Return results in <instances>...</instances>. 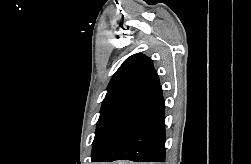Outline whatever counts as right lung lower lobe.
Listing matches in <instances>:
<instances>
[{
  "instance_id": "1",
  "label": "right lung lower lobe",
  "mask_w": 251,
  "mask_h": 164,
  "mask_svg": "<svg viewBox=\"0 0 251 164\" xmlns=\"http://www.w3.org/2000/svg\"><path fill=\"white\" fill-rule=\"evenodd\" d=\"M165 104L160 84L142 91L113 123L92 162L165 161Z\"/></svg>"
}]
</instances>
